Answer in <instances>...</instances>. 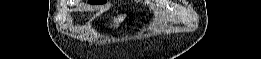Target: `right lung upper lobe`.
Here are the masks:
<instances>
[{
	"mask_svg": "<svg viewBox=\"0 0 261 59\" xmlns=\"http://www.w3.org/2000/svg\"><path fill=\"white\" fill-rule=\"evenodd\" d=\"M91 2H106V0H90Z\"/></svg>",
	"mask_w": 261,
	"mask_h": 59,
	"instance_id": "obj_1",
	"label": "right lung upper lobe"
}]
</instances>
